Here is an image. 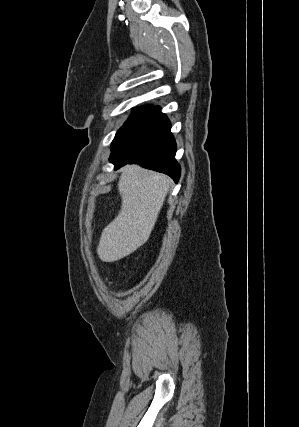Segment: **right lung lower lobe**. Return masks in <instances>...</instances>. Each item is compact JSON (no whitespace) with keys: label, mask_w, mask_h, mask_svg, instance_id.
<instances>
[{"label":"right lung lower lobe","mask_w":299,"mask_h":427,"mask_svg":"<svg viewBox=\"0 0 299 427\" xmlns=\"http://www.w3.org/2000/svg\"><path fill=\"white\" fill-rule=\"evenodd\" d=\"M171 124L158 106L112 148L109 161L118 169L137 163L142 167L169 175L175 182L180 177V165L175 159L176 142Z\"/></svg>","instance_id":"98d812e1"}]
</instances>
